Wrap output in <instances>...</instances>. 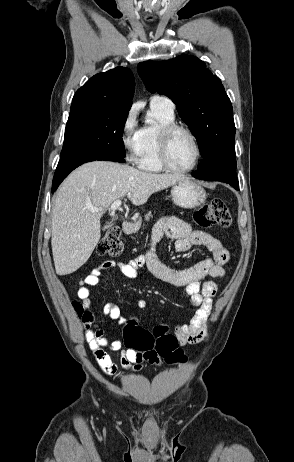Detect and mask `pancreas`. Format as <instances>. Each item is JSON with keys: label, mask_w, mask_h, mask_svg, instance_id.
<instances>
[{"label": "pancreas", "mask_w": 294, "mask_h": 462, "mask_svg": "<svg viewBox=\"0 0 294 462\" xmlns=\"http://www.w3.org/2000/svg\"><path fill=\"white\" fill-rule=\"evenodd\" d=\"M150 218H152V212H148V213L145 215V220H146V221H149Z\"/></svg>", "instance_id": "pancreas-1"}]
</instances>
